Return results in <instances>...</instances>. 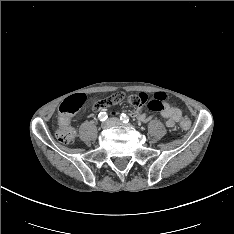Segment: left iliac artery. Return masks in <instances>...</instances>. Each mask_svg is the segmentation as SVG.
Masks as SVG:
<instances>
[{
    "label": "left iliac artery",
    "instance_id": "1",
    "mask_svg": "<svg viewBox=\"0 0 234 234\" xmlns=\"http://www.w3.org/2000/svg\"><path fill=\"white\" fill-rule=\"evenodd\" d=\"M120 120L123 122V123H128L129 122V117L126 115V114H122L120 116Z\"/></svg>",
    "mask_w": 234,
    "mask_h": 234
}]
</instances>
